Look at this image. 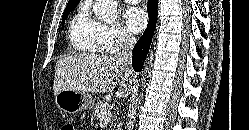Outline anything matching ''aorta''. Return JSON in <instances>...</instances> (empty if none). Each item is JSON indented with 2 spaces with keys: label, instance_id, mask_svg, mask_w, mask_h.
I'll return each mask as SVG.
<instances>
[{
  "label": "aorta",
  "instance_id": "aorta-1",
  "mask_svg": "<svg viewBox=\"0 0 249 130\" xmlns=\"http://www.w3.org/2000/svg\"><path fill=\"white\" fill-rule=\"evenodd\" d=\"M117 5V0H96L93 11L99 19L110 22L116 18Z\"/></svg>",
  "mask_w": 249,
  "mask_h": 130
}]
</instances>
